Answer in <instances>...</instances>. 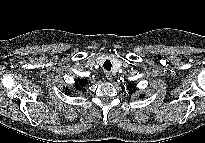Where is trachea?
Returning a JSON list of instances; mask_svg holds the SVG:
<instances>
[{
  "label": "trachea",
  "instance_id": "trachea-1",
  "mask_svg": "<svg viewBox=\"0 0 205 143\" xmlns=\"http://www.w3.org/2000/svg\"><path fill=\"white\" fill-rule=\"evenodd\" d=\"M104 69H106L107 71L111 70L112 64L110 60H106L103 64Z\"/></svg>",
  "mask_w": 205,
  "mask_h": 143
}]
</instances>
